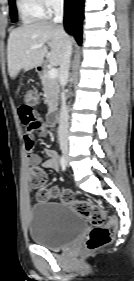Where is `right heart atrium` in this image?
<instances>
[{"instance_id":"d8ad5b80","label":"right heart atrium","mask_w":134,"mask_h":281,"mask_svg":"<svg viewBox=\"0 0 134 281\" xmlns=\"http://www.w3.org/2000/svg\"><path fill=\"white\" fill-rule=\"evenodd\" d=\"M64 0H39L41 6L47 14L54 12L63 5Z\"/></svg>"}]
</instances>
